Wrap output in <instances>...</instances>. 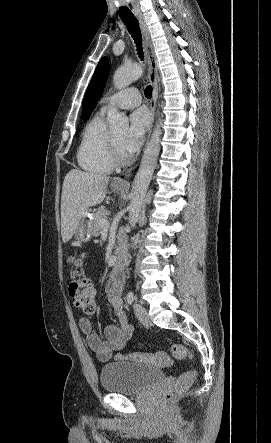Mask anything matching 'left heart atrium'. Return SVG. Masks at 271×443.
I'll return each instance as SVG.
<instances>
[{"instance_id": "39dd6f15", "label": "left heart atrium", "mask_w": 271, "mask_h": 443, "mask_svg": "<svg viewBox=\"0 0 271 443\" xmlns=\"http://www.w3.org/2000/svg\"><path fill=\"white\" fill-rule=\"evenodd\" d=\"M150 119L145 109H137L129 116V128L121 143V150L126 155H132L143 145Z\"/></svg>"}]
</instances>
